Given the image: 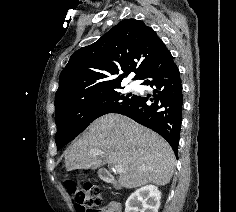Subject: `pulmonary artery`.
<instances>
[{
	"label": "pulmonary artery",
	"instance_id": "obj_1",
	"mask_svg": "<svg viewBox=\"0 0 236 212\" xmlns=\"http://www.w3.org/2000/svg\"><path fill=\"white\" fill-rule=\"evenodd\" d=\"M129 87H130V88H134L135 85H134V84H130Z\"/></svg>",
	"mask_w": 236,
	"mask_h": 212
}]
</instances>
